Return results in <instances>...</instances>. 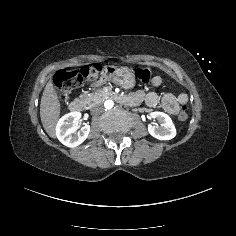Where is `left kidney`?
<instances>
[{"instance_id":"left-kidney-1","label":"left kidney","mask_w":236,"mask_h":236,"mask_svg":"<svg viewBox=\"0 0 236 236\" xmlns=\"http://www.w3.org/2000/svg\"><path fill=\"white\" fill-rule=\"evenodd\" d=\"M149 118H156L160 125L155 123L148 127L149 134L155 139L168 141L176 136V128L169 115L163 112H152Z\"/></svg>"}]
</instances>
